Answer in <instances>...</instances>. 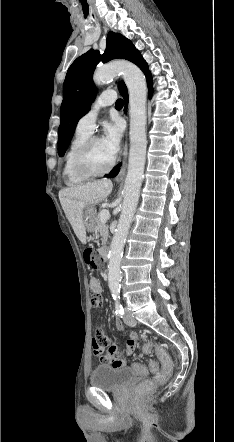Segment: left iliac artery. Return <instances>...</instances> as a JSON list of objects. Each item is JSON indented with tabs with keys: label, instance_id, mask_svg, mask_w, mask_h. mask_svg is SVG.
<instances>
[{
	"label": "left iliac artery",
	"instance_id": "44dca946",
	"mask_svg": "<svg viewBox=\"0 0 234 442\" xmlns=\"http://www.w3.org/2000/svg\"><path fill=\"white\" fill-rule=\"evenodd\" d=\"M113 299L115 300V313L117 316L121 317L124 315V309L120 303V295L114 294Z\"/></svg>",
	"mask_w": 234,
	"mask_h": 442
}]
</instances>
